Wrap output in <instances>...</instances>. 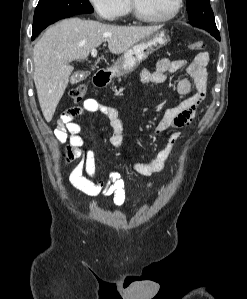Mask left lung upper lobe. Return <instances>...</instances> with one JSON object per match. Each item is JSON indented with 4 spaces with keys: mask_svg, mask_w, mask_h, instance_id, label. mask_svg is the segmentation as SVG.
I'll use <instances>...</instances> for the list:
<instances>
[{
    "mask_svg": "<svg viewBox=\"0 0 247 299\" xmlns=\"http://www.w3.org/2000/svg\"><path fill=\"white\" fill-rule=\"evenodd\" d=\"M189 23L210 33H219L209 0H186Z\"/></svg>",
    "mask_w": 247,
    "mask_h": 299,
    "instance_id": "5c2ea615",
    "label": "left lung upper lobe"
}]
</instances>
